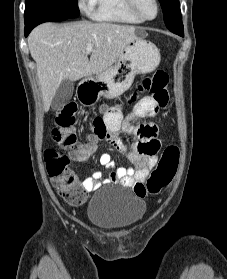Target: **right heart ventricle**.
<instances>
[{
  "instance_id": "obj_1",
  "label": "right heart ventricle",
  "mask_w": 227,
  "mask_h": 279,
  "mask_svg": "<svg viewBox=\"0 0 227 279\" xmlns=\"http://www.w3.org/2000/svg\"><path fill=\"white\" fill-rule=\"evenodd\" d=\"M90 16L97 21L126 24L141 23L129 7L127 0H89Z\"/></svg>"
}]
</instances>
